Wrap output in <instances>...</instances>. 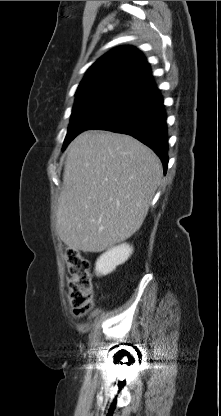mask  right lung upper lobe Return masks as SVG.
Wrapping results in <instances>:
<instances>
[{"instance_id":"cb5924a9","label":"right lung upper lobe","mask_w":221,"mask_h":416,"mask_svg":"<svg viewBox=\"0 0 221 416\" xmlns=\"http://www.w3.org/2000/svg\"><path fill=\"white\" fill-rule=\"evenodd\" d=\"M154 86L142 53L134 47L123 46L108 52L88 69L76 97L99 93L129 96Z\"/></svg>"}]
</instances>
